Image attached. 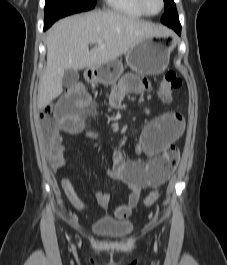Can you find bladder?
Masks as SVG:
<instances>
[{
	"label": "bladder",
	"instance_id": "31cf9c89",
	"mask_svg": "<svg viewBox=\"0 0 227 265\" xmlns=\"http://www.w3.org/2000/svg\"><path fill=\"white\" fill-rule=\"evenodd\" d=\"M92 231L100 237L120 239L128 236L132 232V227L126 224L97 222L92 226Z\"/></svg>",
	"mask_w": 227,
	"mask_h": 265
}]
</instances>
